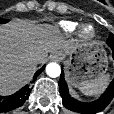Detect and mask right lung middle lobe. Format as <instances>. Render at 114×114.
Listing matches in <instances>:
<instances>
[{
  "mask_svg": "<svg viewBox=\"0 0 114 114\" xmlns=\"http://www.w3.org/2000/svg\"><path fill=\"white\" fill-rule=\"evenodd\" d=\"M6 22H7V20H3L0 18V24L6 23Z\"/></svg>",
  "mask_w": 114,
  "mask_h": 114,
  "instance_id": "dd1d6c3e",
  "label": "right lung middle lobe"
}]
</instances>
